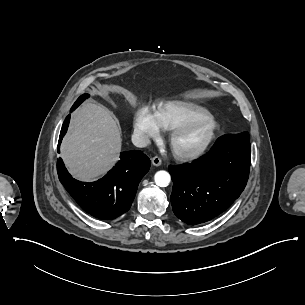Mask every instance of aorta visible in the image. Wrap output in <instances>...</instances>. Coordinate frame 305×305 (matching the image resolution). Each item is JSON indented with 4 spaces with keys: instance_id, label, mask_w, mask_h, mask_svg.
<instances>
[{
    "instance_id": "762f6f07",
    "label": "aorta",
    "mask_w": 305,
    "mask_h": 305,
    "mask_svg": "<svg viewBox=\"0 0 305 305\" xmlns=\"http://www.w3.org/2000/svg\"><path fill=\"white\" fill-rule=\"evenodd\" d=\"M154 181L160 187H167L171 181V176L167 171L161 170L156 172Z\"/></svg>"
}]
</instances>
